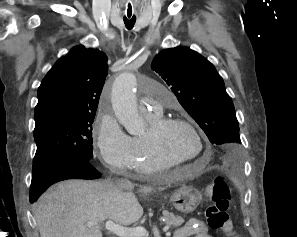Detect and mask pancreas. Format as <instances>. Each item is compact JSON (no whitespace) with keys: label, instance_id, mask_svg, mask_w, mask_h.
<instances>
[{"label":"pancreas","instance_id":"pancreas-1","mask_svg":"<svg viewBox=\"0 0 297 237\" xmlns=\"http://www.w3.org/2000/svg\"><path fill=\"white\" fill-rule=\"evenodd\" d=\"M163 218L166 219L165 224L169 227L177 228L184 223V219L180 216H175L173 213L168 211L163 212Z\"/></svg>","mask_w":297,"mask_h":237}]
</instances>
